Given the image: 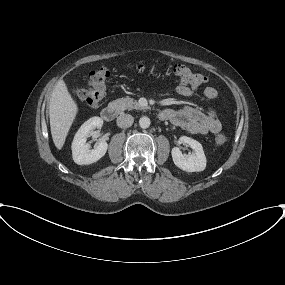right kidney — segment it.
<instances>
[{
  "label": "right kidney",
  "mask_w": 285,
  "mask_h": 285,
  "mask_svg": "<svg viewBox=\"0 0 285 285\" xmlns=\"http://www.w3.org/2000/svg\"><path fill=\"white\" fill-rule=\"evenodd\" d=\"M102 125L103 120L100 117H92L79 128L72 142V157L76 164H92L105 155L108 148L106 141H100L94 149H90V144L87 143V138L92 135L93 130L101 128Z\"/></svg>",
  "instance_id": "ca27d5eb"
}]
</instances>
